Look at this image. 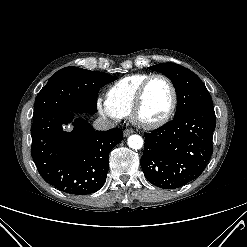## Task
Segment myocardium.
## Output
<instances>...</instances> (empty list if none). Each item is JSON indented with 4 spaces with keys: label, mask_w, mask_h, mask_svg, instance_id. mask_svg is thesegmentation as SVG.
<instances>
[{
    "label": "myocardium",
    "mask_w": 247,
    "mask_h": 247,
    "mask_svg": "<svg viewBox=\"0 0 247 247\" xmlns=\"http://www.w3.org/2000/svg\"><path fill=\"white\" fill-rule=\"evenodd\" d=\"M156 78H162V79L166 80L167 83L169 84L170 89H171V93H172L171 105H170V108L167 111V113L163 117H161L160 119L155 120V121H145V120L140 118V110H141V107H142V104L144 101L146 89H147L149 83ZM177 102H178V93H177V89H176V86H175L173 80L169 76L162 74V73L151 74L149 77H147L142 82V84L140 85V87H139V89L135 95L134 102H133L132 109H131V113H130L131 119L136 125L144 128V129L152 130V129L159 128V127L163 126L164 124H166L172 118V116L176 110V107H177Z\"/></svg>",
    "instance_id": "myocardium-1"
}]
</instances>
